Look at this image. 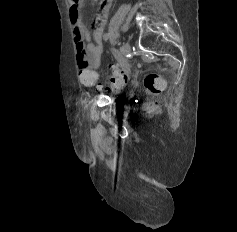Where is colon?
<instances>
[{"mask_svg":"<svg viewBox=\"0 0 237 232\" xmlns=\"http://www.w3.org/2000/svg\"><path fill=\"white\" fill-rule=\"evenodd\" d=\"M110 69L111 75L107 82V87L115 89L123 87L128 79L127 67L120 63H114L110 65ZM79 78L82 85L93 86L97 82L98 75L94 71L83 69L80 71ZM165 86V79L159 74L151 73L144 79V88L149 94H159L165 89Z\"/></svg>","mask_w":237,"mask_h":232,"instance_id":"5ec220e1","label":"colon"}]
</instances>
